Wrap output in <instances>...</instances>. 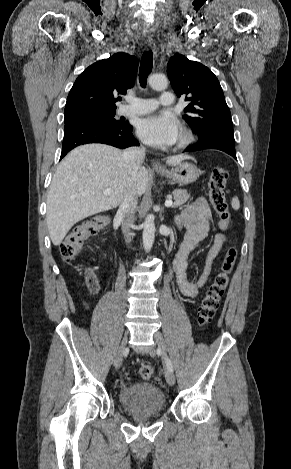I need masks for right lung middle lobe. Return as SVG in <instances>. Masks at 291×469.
<instances>
[{"label": "right lung middle lobe", "mask_w": 291, "mask_h": 469, "mask_svg": "<svg viewBox=\"0 0 291 469\" xmlns=\"http://www.w3.org/2000/svg\"><path fill=\"white\" fill-rule=\"evenodd\" d=\"M115 110L116 109H111V110L99 109V110H89V111H84L80 113L65 115L64 122L66 123L72 120L84 119V118L96 119V120H101V121L110 122V123L119 122L115 120L114 118Z\"/></svg>", "instance_id": "right-lung-middle-lobe-1"}]
</instances>
